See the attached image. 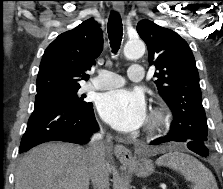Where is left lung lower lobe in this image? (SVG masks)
<instances>
[{"label":"left lung lower lobe","instance_id":"1","mask_svg":"<svg viewBox=\"0 0 223 189\" xmlns=\"http://www.w3.org/2000/svg\"><path fill=\"white\" fill-rule=\"evenodd\" d=\"M170 141H175L174 139H171L169 137H161L158 139H155L151 142L152 145H160L162 143L165 142H170ZM187 146L190 150H192L193 152L206 157L209 155V150H208V146L207 145H202L193 141L187 142Z\"/></svg>","mask_w":223,"mask_h":189}]
</instances>
